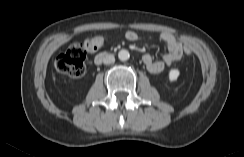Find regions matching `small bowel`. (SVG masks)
Wrapping results in <instances>:
<instances>
[{"label":"small bowel","mask_w":244,"mask_h":157,"mask_svg":"<svg viewBox=\"0 0 244 157\" xmlns=\"http://www.w3.org/2000/svg\"><path fill=\"white\" fill-rule=\"evenodd\" d=\"M125 37L129 41L140 39L139 34L134 31H127ZM159 39L165 44L168 52L162 55L160 59H155L151 54L143 56V62L147 70L154 75L161 74L167 66L179 61L183 56V46L173 34L163 32L159 35Z\"/></svg>","instance_id":"obj_1"}]
</instances>
